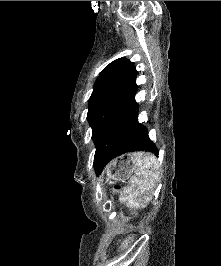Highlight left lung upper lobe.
Here are the masks:
<instances>
[{"instance_id": "obj_1", "label": "left lung upper lobe", "mask_w": 221, "mask_h": 266, "mask_svg": "<svg viewBox=\"0 0 221 266\" xmlns=\"http://www.w3.org/2000/svg\"><path fill=\"white\" fill-rule=\"evenodd\" d=\"M136 76L134 64L126 58L111 62L98 76L87 113L96 149L117 111L137 91Z\"/></svg>"}]
</instances>
